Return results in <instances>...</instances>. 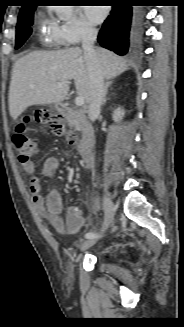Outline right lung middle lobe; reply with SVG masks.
<instances>
[{"label":"right lung middle lobe","mask_w":184,"mask_h":327,"mask_svg":"<svg viewBox=\"0 0 184 327\" xmlns=\"http://www.w3.org/2000/svg\"><path fill=\"white\" fill-rule=\"evenodd\" d=\"M34 11L35 7L19 13V19L16 26L17 30L15 49L21 47L27 38L31 35Z\"/></svg>","instance_id":"obj_1"}]
</instances>
